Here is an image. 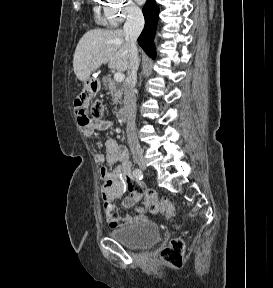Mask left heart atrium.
<instances>
[{
  "label": "left heart atrium",
  "mask_w": 273,
  "mask_h": 288,
  "mask_svg": "<svg viewBox=\"0 0 273 288\" xmlns=\"http://www.w3.org/2000/svg\"><path fill=\"white\" fill-rule=\"evenodd\" d=\"M145 0H137L138 3H143Z\"/></svg>",
  "instance_id": "1"
}]
</instances>
